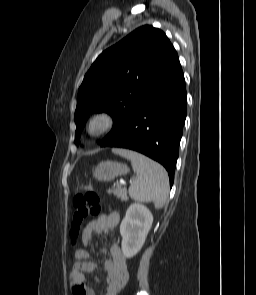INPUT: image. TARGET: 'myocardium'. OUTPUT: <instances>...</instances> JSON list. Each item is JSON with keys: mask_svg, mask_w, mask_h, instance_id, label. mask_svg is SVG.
Wrapping results in <instances>:
<instances>
[{"mask_svg": "<svg viewBox=\"0 0 256 295\" xmlns=\"http://www.w3.org/2000/svg\"><path fill=\"white\" fill-rule=\"evenodd\" d=\"M113 126L112 117L104 111L93 113L85 124V131L89 136L98 137L111 130Z\"/></svg>", "mask_w": 256, "mask_h": 295, "instance_id": "1", "label": "myocardium"}]
</instances>
